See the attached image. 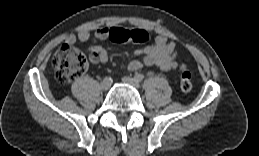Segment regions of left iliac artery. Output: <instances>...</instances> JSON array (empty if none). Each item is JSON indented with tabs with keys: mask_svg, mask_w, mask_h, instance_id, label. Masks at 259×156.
Here are the masks:
<instances>
[{
	"mask_svg": "<svg viewBox=\"0 0 259 156\" xmlns=\"http://www.w3.org/2000/svg\"><path fill=\"white\" fill-rule=\"evenodd\" d=\"M134 78L137 80V81H142L144 79V75L143 74H140V73H136Z\"/></svg>",
	"mask_w": 259,
	"mask_h": 156,
	"instance_id": "obj_1",
	"label": "left iliac artery"
}]
</instances>
